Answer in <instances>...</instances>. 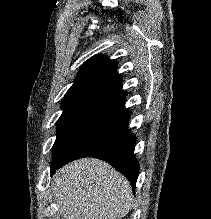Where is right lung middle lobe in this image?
Listing matches in <instances>:
<instances>
[{"label":"right lung middle lobe","instance_id":"dd1d6c3e","mask_svg":"<svg viewBox=\"0 0 211 219\" xmlns=\"http://www.w3.org/2000/svg\"><path fill=\"white\" fill-rule=\"evenodd\" d=\"M57 122V138L52 148V166L59 162L82 138L119 107L95 100H77L62 104Z\"/></svg>","mask_w":211,"mask_h":219}]
</instances>
